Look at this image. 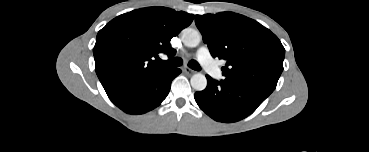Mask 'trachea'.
Masks as SVG:
<instances>
[{"mask_svg":"<svg viewBox=\"0 0 369 152\" xmlns=\"http://www.w3.org/2000/svg\"><path fill=\"white\" fill-rule=\"evenodd\" d=\"M159 63L166 66L178 67L182 65V59L180 57H175L167 61L159 60ZM188 66L196 71L201 70L199 63L196 60H190Z\"/></svg>","mask_w":369,"mask_h":152,"instance_id":"obj_1","label":"trachea"}]
</instances>
